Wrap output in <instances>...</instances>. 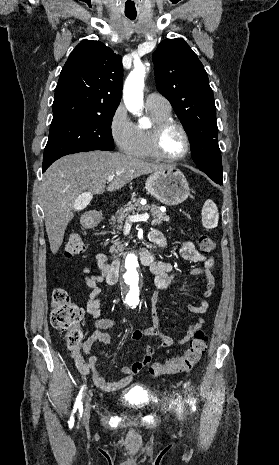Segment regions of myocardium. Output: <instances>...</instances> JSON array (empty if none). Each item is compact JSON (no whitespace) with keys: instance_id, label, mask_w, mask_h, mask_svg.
<instances>
[{"instance_id":"myocardium-1","label":"myocardium","mask_w":279,"mask_h":465,"mask_svg":"<svg viewBox=\"0 0 279 465\" xmlns=\"http://www.w3.org/2000/svg\"><path fill=\"white\" fill-rule=\"evenodd\" d=\"M171 126L177 127L181 131L183 135V139H184V149L179 155H176V156L165 155L162 152L161 147H160V141H161L163 132ZM190 147H191V142H190L188 131L186 130L185 126L179 121L174 120L172 118H168V119L158 121L152 125L150 129V149L154 157L160 160L166 161V162L181 161L184 158H186L187 155L189 154Z\"/></svg>"}]
</instances>
